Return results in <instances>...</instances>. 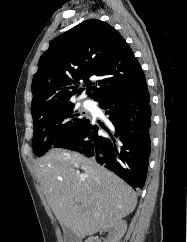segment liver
Instances as JSON below:
<instances>
[{"mask_svg": "<svg viewBox=\"0 0 187 242\" xmlns=\"http://www.w3.org/2000/svg\"><path fill=\"white\" fill-rule=\"evenodd\" d=\"M35 176L60 225L79 239L132 213V188L94 160L52 149L36 162Z\"/></svg>", "mask_w": 187, "mask_h": 242, "instance_id": "6515ba94", "label": "liver"}]
</instances>
